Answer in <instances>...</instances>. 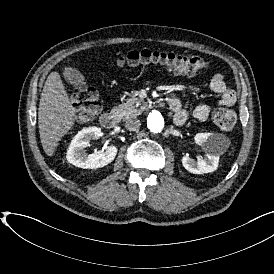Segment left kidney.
Wrapping results in <instances>:
<instances>
[{
  "instance_id": "1",
  "label": "left kidney",
  "mask_w": 274,
  "mask_h": 274,
  "mask_svg": "<svg viewBox=\"0 0 274 274\" xmlns=\"http://www.w3.org/2000/svg\"><path fill=\"white\" fill-rule=\"evenodd\" d=\"M224 137L218 133H197L193 141L196 145L202 147L206 153L205 159L195 160L186 154L182 158L183 167L193 174H207L214 172L219 165V157L226 150Z\"/></svg>"
}]
</instances>
